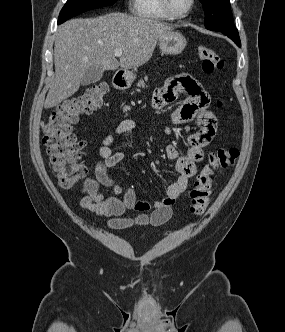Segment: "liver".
Wrapping results in <instances>:
<instances>
[{
  "label": "liver",
  "instance_id": "liver-1",
  "mask_svg": "<svg viewBox=\"0 0 285 332\" xmlns=\"http://www.w3.org/2000/svg\"><path fill=\"white\" fill-rule=\"evenodd\" d=\"M170 32V25L123 13L66 21L56 33L55 78L44 108H53L74 95L90 67L128 70L145 64L152 57L157 41ZM116 49L123 52L119 61L114 55Z\"/></svg>",
  "mask_w": 285,
  "mask_h": 332
}]
</instances>
